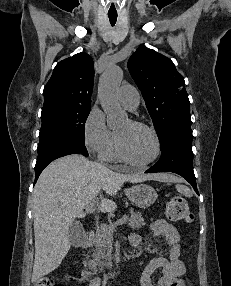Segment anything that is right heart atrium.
<instances>
[{"label": "right heart atrium", "instance_id": "right-heart-atrium-1", "mask_svg": "<svg viewBox=\"0 0 231 286\" xmlns=\"http://www.w3.org/2000/svg\"><path fill=\"white\" fill-rule=\"evenodd\" d=\"M83 140L86 149L95 155H101L114 142V134L107 127L103 113L92 109L83 125Z\"/></svg>", "mask_w": 231, "mask_h": 286}]
</instances>
